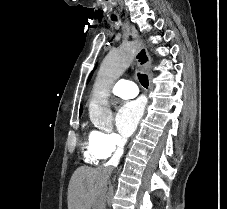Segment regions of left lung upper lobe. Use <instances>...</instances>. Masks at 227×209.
Returning <instances> with one entry per match:
<instances>
[{
    "label": "left lung upper lobe",
    "mask_w": 227,
    "mask_h": 209,
    "mask_svg": "<svg viewBox=\"0 0 227 209\" xmlns=\"http://www.w3.org/2000/svg\"><path fill=\"white\" fill-rule=\"evenodd\" d=\"M90 78H91V75H90V77H89L88 81L90 80Z\"/></svg>",
    "instance_id": "obj_1"
}]
</instances>
